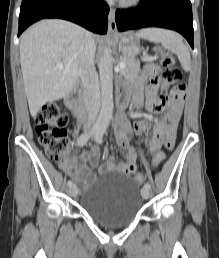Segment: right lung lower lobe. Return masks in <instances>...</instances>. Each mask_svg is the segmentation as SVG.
Returning <instances> with one entry per match:
<instances>
[{"label": "right lung lower lobe", "instance_id": "right-lung-lower-lobe-1", "mask_svg": "<svg viewBox=\"0 0 219 258\" xmlns=\"http://www.w3.org/2000/svg\"><path fill=\"white\" fill-rule=\"evenodd\" d=\"M109 7L103 0H22L18 36L43 18H61L103 35L107 32Z\"/></svg>", "mask_w": 219, "mask_h": 258}]
</instances>
